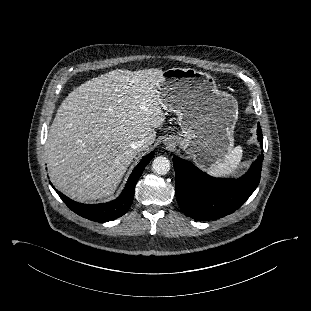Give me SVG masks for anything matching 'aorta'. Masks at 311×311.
<instances>
[{
    "label": "aorta",
    "mask_w": 311,
    "mask_h": 311,
    "mask_svg": "<svg viewBox=\"0 0 311 311\" xmlns=\"http://www.w3.org/2000/svg\"><path fill=\"white\" fill-rule=\"evenodd\" d=\"M152 170L159 175H165L170 170V161L164 156H158L152 162Z\"/></svg>",
    "instance_id": "obj_1"
}]
</instances>
